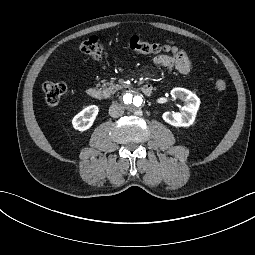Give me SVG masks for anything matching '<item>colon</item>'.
<instances>
[{
	"label": "colon",
	"instance_id": "1",
	"mask_svg": "<svg viewBox=\"0 0 255 255\" xmlns=\"http://www.w3.org/2000/svg\"><path fill=\"white\" fill-rule=\"evenodd\" d=\"M128 47L131 51L139 54H159V53H175L177 48L170 45H162L141 39L138 36H132L128 40ZM81 53L91 57L94 60H100L103 57L104 50L96 36H89L79 44ZM215 89L224 91L226 82L222 79L215 81ZM67 86L61 81H47L43 84V92L48 105H57L62 96L66 93Z\"/></svg>",
	"mask_w": 255,
	"mask_h": 255
}]
</instances>
